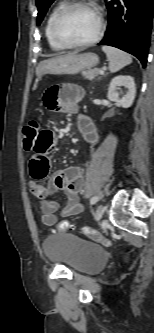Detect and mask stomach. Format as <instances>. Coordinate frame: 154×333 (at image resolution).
Masks as SVG:
<instances>
[{"label":"stomach","instance_id":"stomach-1","mask_svg":"<svg viewBox=\"0 0 154 333\" xmlns=\"http://www.w3.org/2000/svg\"><path fill=\"white\" fill-rule=\"evenodd\" d=\"M98 63L99 57L95 53H70L40 62L35 73L38 77L45 74L75 75L95 67Z\"/></svg>","mask_w":154,"mask_h":333}]
</instances>
